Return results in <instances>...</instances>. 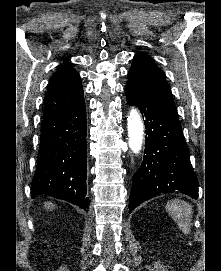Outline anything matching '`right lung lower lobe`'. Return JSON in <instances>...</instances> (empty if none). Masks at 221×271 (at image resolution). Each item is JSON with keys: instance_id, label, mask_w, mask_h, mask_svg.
Here are the masks:
<instances>
[{"instance_id": "1", "label": "right lung lower lobe", "mask_w": 221, "mask_h": 271, "mask_svg": "<svg viewBox=\"0 0 221 271\" xmlns=\"http://www.w3.org/2000/svg\"><path fill=\"white\" fill-rule=\"evenodd\" d=\"M86 155L85 102L72 110L44 117L31 197L47 194L87 208Z\"/></svg>"}]
</instances>
